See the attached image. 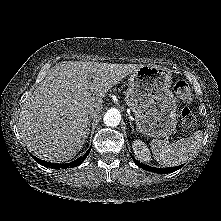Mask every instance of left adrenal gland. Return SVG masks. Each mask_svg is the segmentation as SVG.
<instances>
[{"instance_id":"left-adrenal-gland-1","label":"left adrenal gland","mask_w":221,"mask_h":221,"mask_svg":"<svg viewBox=\"0 0 221 221\" xmlns=\"http://www.w3.org/2000/svg\"><path fill=\"white\" fill-rule=\"evenodd\" d=\"M129 123H130L132 132H134L135 130H134V126H133L132 122L130 121Z\"/></svg>"}]
</instances>
